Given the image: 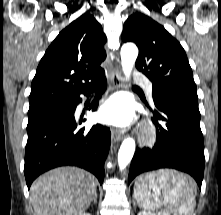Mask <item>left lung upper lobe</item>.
I'll list each match as a JSON object with an SVG mask.
<instances>
[{"mask_svg": "<svg viewBox=\"0 0 221 215\" xmlns=\"http://www.w3.org/2000/svg\"><path fill=\"white\" fill-rule=\"evenodd\" d=\"M122 40L138 46L136 68L152 81L153 95L174 93L198 102L186 53L162 25L135 13L124 24Z\"/></svg>", "mask_w": 221, "mask_h": 215, "instance_id": "1", "label": "left lung upper lobe"}]
</instances>
